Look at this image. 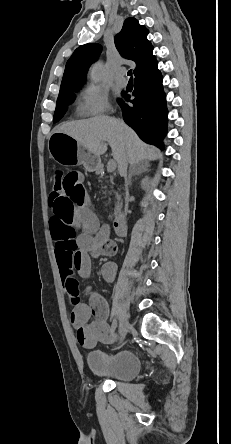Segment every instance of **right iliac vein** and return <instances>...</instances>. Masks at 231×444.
<instances>
[{"label":"right iliac vein","mask_w":231,"mask_h":444,"mask_svg":"<svg viewBox=\"0 0 231 444\" xmlns=\"http://www.w3.org/2000/svg\"><path fill=\"white\" fill-rule=\"evenodd\" d=\"M128 329H129V322H128V320L125 317H122L121 320H120V326H119V332H120L119 342L120 343L125 338Z\"/></svg>","instance_id":"63e3f726"}]
</instances>
